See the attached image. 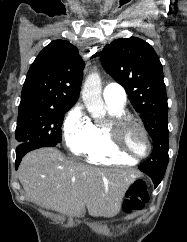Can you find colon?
Masks as SVG:
<instances>
[{
	"label": "colon",
	"mask_w": 187,
	"mask_h": 242,
	"mask_svg": "<svg viewBox=\"0 0 187 242\" xmlns=\"http://www.w3.org/2000/svg\"><path fill=\"white\" fill-rule=\"evenodd\" d=\"M149 201L147 184L144 180H136L127 191L123 204L126 213L139 212L144 209Z\"/></svg>",
	"instance_id": "obj_1"
}]
</instances>
